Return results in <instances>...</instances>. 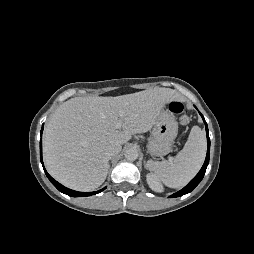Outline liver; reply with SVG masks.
<instances>
[{
	"label": "liver",
	"instance_id": "6515ba94",
	"mask_svg": "<svg viewBox=\"0 0 254 254\" xmlns=\"http://www.w3.org/2000/svg\"><path fill=\"white\" fill-rule=\"evenodd\" d=\"M179 98L175 90L152 88L116 97H75L60 105L46 125L43 157L52 177L79 191L98 188L109 169L107 147L125 144L133 134L151 130L164 105ZM119 111L122 128L116 129Z\"/></svg>",
	"mask_w": 254,
	"mask_h": 254
}]
</instances>
